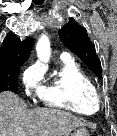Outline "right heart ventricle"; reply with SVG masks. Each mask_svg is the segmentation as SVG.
Listing matches in <instances>:
<instances>
[{
  "instance_id": "obj_1",
  "label": "right heart ventricle",
  "mask_w": 117,
  "mask_h": 136,
  "mask_svg": "<svg viewBox=\"0 0 117 136\" xmlns=\"http://www.w3.org/2000/svg\"><path fill=\"white\" fill-rule=\"evenodd\" d=\"M94 88L92 80L78 64L63 60L58 73L43 90L41 99L49 107L91 115L99 109V104L91 99Z\"/></svg>"
}]
</instances>
